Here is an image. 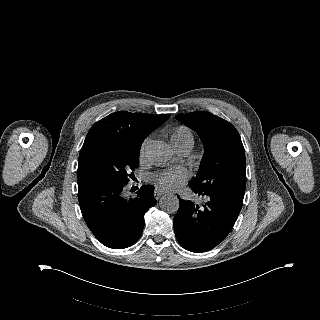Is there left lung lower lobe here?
<instances>
[{"mask_svg": "<svg viewBox=\"0 0 320 320\" xmlns=\"http://www.w3.org/2000/svg\"><path fill=\"white\" fill-rule=\"evenodd\" d=\"M191 189L206 202L200 207L181 200L173 220L174 231L183 248L202 253L217 246L230 233L240 213L245 188L223 185L207 191Z\"/></svg>", "mask_w": 320, "mask_h": 320, "instance_id": "left-lung-lower-lobe-1", "label": "left lung lower lobe"}]
</instances>
